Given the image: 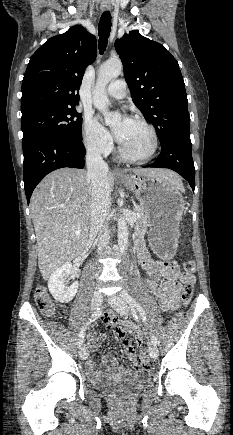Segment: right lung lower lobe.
I'll list each match as a JSON object with an SVG mask.
<instances>
[{
    "label": "right lung lower lobe",
    "instance_id": "obj_1",
    "mask_svg": "<svg viewBox=\"0 0 233 435\" xmlns=\"http://www.w3.org/2000/svg\"><path fill=\"white\" fill-rule=\"evenodd\" d=\"M86 150L81 141L42 137L23 144L24 185L27 201L37 184L50 172L64 167L83 168Z\"/></svg>",
    "mask_w": 233,
    "mask_h": 435
}]
</instances>
